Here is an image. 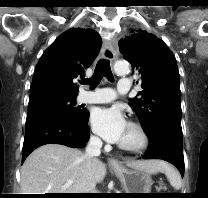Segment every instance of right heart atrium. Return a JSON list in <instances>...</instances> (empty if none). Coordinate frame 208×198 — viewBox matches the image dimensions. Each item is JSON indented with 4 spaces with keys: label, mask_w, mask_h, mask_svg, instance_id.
Segmentation results:
<instances>
[{
    "label": "right heart atrium",
    "mask_w": 208,
    "mask_h": 198,
    "mask_svg": "<svg viewBox=\"0 0 208 198\" xmlns=\"http://www.w3.org/2000/svg\"><path fill=\"white\" fill-rule=\"evenodd\" d=\"M91 139H92V141H93L94 143H99V142H100L99 138H98L97 136H95V135H93V136L91 137Z\"/></svg>",
    "instance_id": "right-heart-atrium-1"
}]
</instances>
